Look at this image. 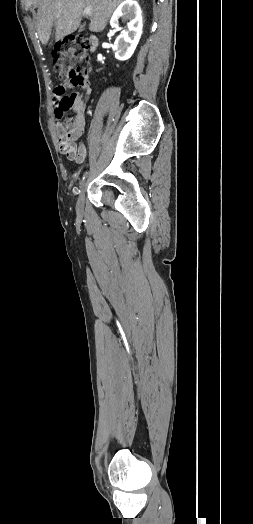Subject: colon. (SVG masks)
Wrapping results in <instances>:
<instances>
[{
	"label": "colon",
	"instance_id": "1",
	"mask_svg": "<svg viewBox=\"0 0 253 524\" xmlns=\"http://www.w3.org/2000/svg\"><path fill=\"white\" fill-rule=\"evenodd\" d=\"M91 41L83 35L71 34L65 36L55 47L53 53V67L62 82L60 99L54 103L57 116L64 117L74 105V94H65L72 87H79L84 96H89L93 91L92 81L88 79L86 68L76 67L77 61H85L87 52L91 49ZM74 126L71 119L65 121L67 130Z\"/></svg>",
	"mask_w": 253,
	"mask_h": 524
}]
</instances>
